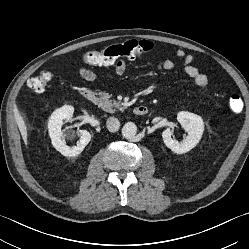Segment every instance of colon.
<instances>
[{
  "instance_id": "colon-1",
  "label": "colon",
  "mask_w": 249,
  "mask_h": 249,
  "mask_svg": "<svg viewBox=\"0 0 249 249\" xmlns=\"http://www.w3.org/2000/svg\"><path fill=\"white\" fill-rule=\"evenodd\" d=\"M153 43L148 40H130L121 44L111 45L102 50L87 51L83 54V60L92 65H105L116 60L127 58L135 59L140 55L151 51ZM52 75L44 71L28 80V88L35 93H42L46 90L51 81ZM243 101L239 95H231L228 99V108L232 113H239L243 109Z\"/></svg>"
}]
</instances>
